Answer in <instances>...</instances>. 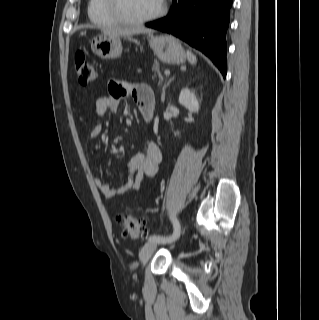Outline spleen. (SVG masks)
<instances>
[{
  "label": "spleen",
  "mask_w": 319,
  "mask_h": 320,
  "mask_svg": "<svg viewBox=\"0 0 319 320\" xmlns=\"http://www.w3.org/2000/svg\"><path fill=\"white\" fill-rule=\"evenodd\" d=\"M187 59L191 64H196L197 62L196 56L189 50H187Z\"/></svg>",
  "instance_id": "spleen-1"
}]
</instances>
